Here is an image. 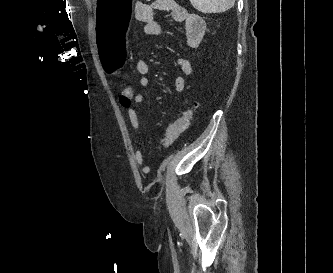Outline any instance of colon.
<instances>
[{
    "label": "colon",
    "instance_id": "1",
    "mask_svg": "<svg viewBox=\"0 0 333 273\" xmlns=\"http://www.w3.org/2000/svg\"><path fill=\"white\" fill-rule=\"evenodd\" d=\"M133 97L134 94L132 86L125 83L122 84L120 86V96H119V102L121 106L125 108L130 107L133 101ZM194 109L195 106H192L190 109L185 111L180 117H178L176 120H174L168 125L164 137L160 140V146L162 148H167L171 146L181 135V133L187 128L192 118Z\"/></svg>",
    "mask_w": 333,
    "mask_h": 273
}]
</instances>
